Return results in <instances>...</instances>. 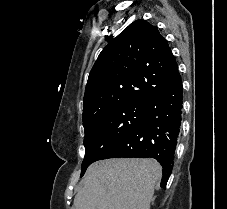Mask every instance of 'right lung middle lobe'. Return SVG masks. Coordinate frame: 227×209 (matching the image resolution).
<instances>
[{
    "instance_id": "dd1d6c3e",
    "label": "right lung middle lobe",
    "mask_w": 227,
    "mask_h": 209,
    "mask_svg": "<svg viewBox=\"0 0 227 209\" xmlns=\"http://www.w3.org/2000/svg\"><path fill=\"white\" fill-rule=\"evenodd\" d=\"M104 110L83 120L85 157L81 176L87 167L101 160L141 120L145 103L117 98L101 100Z\"/></svg>"
}]
</instances>
